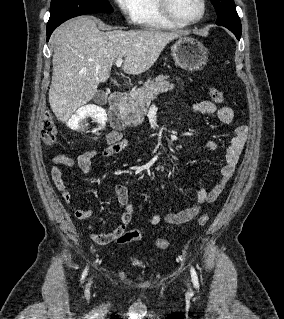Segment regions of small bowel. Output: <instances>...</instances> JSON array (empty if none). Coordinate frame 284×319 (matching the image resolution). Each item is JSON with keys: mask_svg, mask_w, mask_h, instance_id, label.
<instances>
[{"mask_svg": "<svg viewBox=\"0 0 284 319\" xmlns=\"http://www.w3.org/2000/svg\"><path fill=\"white\" fill-rule=\"evenodd\" d=\"M192 108L195 112L201 114L215 115L217 119L224 124H230L233 121L234 112L231 108L226 106L218 108L214 103L208 100L196 102L193 104ZM246 136L247 128L245 126L237 127L234 130L230 141L225 148L224 164L219 171L215 185L210 190H207L201 184V187L197 192L196 199L189 207L179 212L166 213L163 216L152 214L148 217L149 224L158 225L162 220L172 225L186 223L199 214L201 206L204 203H212L216 201L234 174L236 164L238 163L246 142ZM105 142L108 145V147L103 151V157L105 158L116 155L129 148L128 141L125 140L123 135L116 130L110 131L106 135ZM207 145L210 149L217 150V145L214 142L210 141ZM95 154L96 150L94 148H89L78 155L76 163L83 173L89 174L91 172V160ZM53 163L54 165L51 169L53 182L57 189L61 192L64 201L71 205L72 195L64 182L63 169L72 167L75 161L66 154H57L53 157ZM115 192L118 204L123 211L121 214L120 225L109 233L98 232L94 230L90 224L86 223V220L92 215V211L90 209L71 205L75 217L83 222V227L89 234L90 238L98 244H107L114 240L117 241V239L124 234L126 226L130 223L134 214V206L129 202L127 187L124 185H117Z\"/></svg>", "mask_w": 284, "mask_h": 319, "instance_id": "small-bowel-1", "label": "small bowel"}]
</instances>
